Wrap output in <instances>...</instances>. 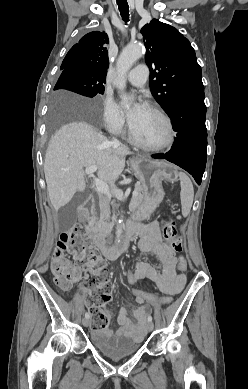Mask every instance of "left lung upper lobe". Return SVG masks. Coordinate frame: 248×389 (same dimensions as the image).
Instances as JSON below:
<instances>
[{
    "instance_id": "1",
    "label": "left lung upper lobe",
    "mask_w": 248,
    "mask_h": 389,
    "mask_svg": "<svg viewBox=\"0 0 248 389\" xmlns=\"http://www.w3.org/2000/svg\"><path fill=\"white\" fill-rule=\"evenodd\" d=\"M150 90L168 114L186 96L204 92L201 67L189 40L176 28L153 19L142 29Z\"/></svg>"
}]
</instances>
